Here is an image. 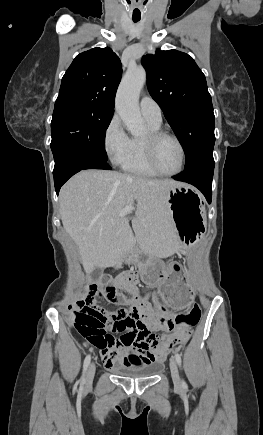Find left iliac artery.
<instances>
[{
	"mask_svg": "<svg viewBox=\"0 0 263 435\" xmlns=\"http://www.w3.org/2000/svg\"><path fill=\"white\" fill-rule=\"evenodd\" d=\"M175 358H176L177 364H178L179 366H181L182 360H181V356H180V354L176 353V354H175ZM182 386H183V387H186V383H185L184 381H182Z\"/></svg>",
	"mask_w": 263,
	"mask_h": 435,
	"instance_id": "obj_1",
	"label": "left iliac artery"
}]
</instances>
